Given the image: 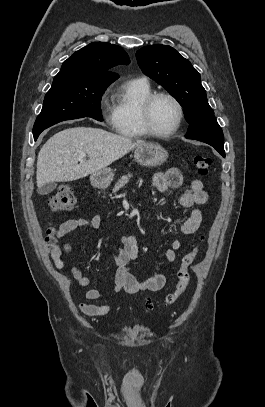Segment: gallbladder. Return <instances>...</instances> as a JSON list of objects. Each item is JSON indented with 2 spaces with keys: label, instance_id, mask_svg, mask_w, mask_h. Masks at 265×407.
I'll use <instances>...</instances> for the list:
<instances>
[{
  "label": "gallbladder",
  "instance_id": "obj_1",
  "mask_svg": "<svg viewBox=\"0 0 265 407\" xmlns=\"http://www.w3.org/2000/svg\"><path fill=\"white\" fill-rule=\"evenodd\" d=\"M57 187V184L55 182H50L45 184L42 187H39L37 189L38 194L40 195H47L49 193H51L52 191H54V189Z\"/></svg>",
  "mask_w": 265,
  "mask_h": 407
}]
</instances>
